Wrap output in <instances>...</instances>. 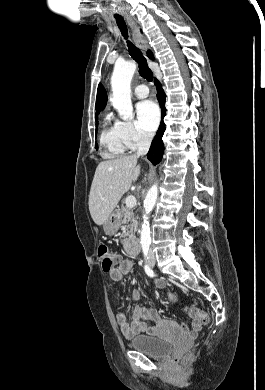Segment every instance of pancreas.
Wrapping results in <instances>:
<instances>
[{
    "label": "pancreas",
    "mask_w": 265,
    "mask_h": 390,
    "mask_svg": "<svg viewBox=\"0 0 265 390\" xmlns=\"http://www.w3.org/2000/svg\"><path fill=\"white\" fill-rule=\"evenodd\" d=\"M120 214L123 217L122 224L130 222L129 230L123 234L124 237L131 238L133 234L137 231L138 221L137 217L134 216L132 208L123 207L120 210ZM127 239L124 240L126 242Z\"/></svg>",
    "instance_id": "pancreas-1"
}]
</instances>
